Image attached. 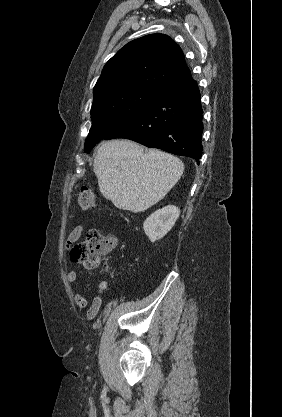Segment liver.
Listing matches in <instances>:
<instances>
[{"instance_id": "6515ba94", "label": "liver", "mask_w": 282, "mask_h": 417, "mask_svg": "<svg viewBox=\"0 0 282 417\" xmlns=\"http://www.w3.org/2000/svg\"><path fill=\"white\" fill-rule=\"evenodd\" d=\"M100 192L117 209L147 211L173 188L183 174L180 158L149 150L132 140H106L97 150L93 164Z\"/></svg>"}]
</instances>
